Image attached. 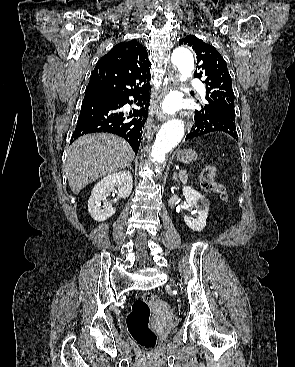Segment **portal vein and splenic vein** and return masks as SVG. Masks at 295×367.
<instances>
[{
    "mask_svg": "<svg viewBox=\"0 0 295 367\" xmlns=\"http://www.w3.org/2000/svg\"><path fill=\"white\" fill-rule=\"evenodd\" d=\"M178 174L179 176H183L186 174V170H180Z\"/></svg>",
    "mask_w": 295,
    "mask_h": 367,
    "instance_id": "obj_1",
    "label": "portal vein and splenic vein"
}]
</instances>
